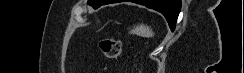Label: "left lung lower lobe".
Masks as SVG:
<instances>
[{
	"label": "left lung lower lobe",
	"instance_id": "0a47b994",
	"mask_svg": "<svg viewBox=\"0 0 244 73\" xmlns=\"http://www.w3.org/2000/svg\"><path fill=\"white\" fill-rule=\"evenodd\" d=\"M131 2L144 5L162 13L168 21V24L173 31L181 9L180 0H129ZM121 2V0H100V4H108Z\"/></svg>",
	"mask_w": 244,
	"mask_h": 73
}]
</instances>
